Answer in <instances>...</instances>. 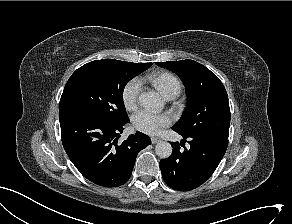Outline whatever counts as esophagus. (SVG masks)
Instances as JSON below:
<instances>
[{
  "mask_svg": "<svg viewBox=\"0 0 292 224\" xmlns=\"http://www.w3.org/2000/svg\"><path fill=\"white\" fill-rule=\"evenodd\" d=\"M160 141H161V138L160 137H156V136H152L151 137L152 144H156V143H158Z\"/></svg>",
  "mask_w": 292,
  "mask_h": 224,
  "instance_id": "obj_1",
  "label": "esophagus"
}]
</instances>
